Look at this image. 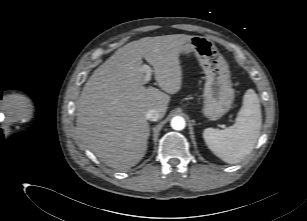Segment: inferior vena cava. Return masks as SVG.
I'll return each instance as SVG.
<instances>
[{
  "mask_svg": "<svg viewBox=\"0 0 307 221\" xmlns=\"http://www.w3.org/2000/svg\"><path fill=\"white\" fill-rule=\"evenodd\" d=\"M161 118L160 113L156 109H150L146 113V119L150 121H158Z\"/></svg>",
  "mask_w": 307,
  "mask_h": 221,
  "instance_id": "obj_1",
  "label": "inferior vena cava"
}]
</instances>
